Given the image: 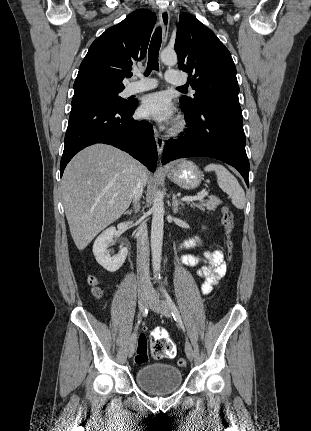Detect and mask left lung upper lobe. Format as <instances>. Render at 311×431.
<instances>
[{
    "mask_svg": "<svg viewBox=\"0 0 311 431\" xmlns=\"http://www.w3.org/2000/svg\"><path fill=\"white\" fill-rule=\"evenodd\" d=\"M178 67L188 72L194 97H181V108L193 113L219 101H239L236 67L228 49L196 17L182 13L177 24Z\"/></svg>",
    "mask_w": 311,
    "mask_h": 431,
    "instance_id": "5c2ea615",
    "label": "left lung upper lobe"
}]
</instances>
